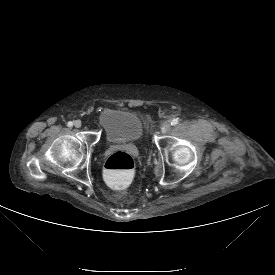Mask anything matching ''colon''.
Returning <instances> with one entry per match:
<instances>
[{"instance_id": "colon-1", "label": "colon", "mask_w": 275, "mask_h": 275, "mask_svg": "<svg viewBox=\"0 0 275 275\" xmlns=\"http://www.w3.org/2000/svg\"><path fill=\"white\" fill-rule=\"evenodd\" d=\"M135 173L133 157L125 151L111 154L104 163V176L113 186L124 188L130 184Z\"/></svg>"}]
</instances>
